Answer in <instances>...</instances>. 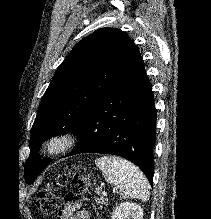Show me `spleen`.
<instances>
[{
	"instance_id": "1",
	"label": "spleen",
	"mask_w": 211,
	"mask_h": 219,
	"mask_svg": "<svg viewBox=\"0 0 211 219\" xmlns=\"http://www.w3.org/2000/svg\"><path fill=\"white\" fill-rule=\"evenodd\" d=\"M103 176L119 190L123 198L149 199V184L141 170L133 163L115 156H104L95 161Z\"/></svg>"
}]
</instances>
